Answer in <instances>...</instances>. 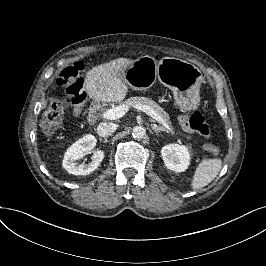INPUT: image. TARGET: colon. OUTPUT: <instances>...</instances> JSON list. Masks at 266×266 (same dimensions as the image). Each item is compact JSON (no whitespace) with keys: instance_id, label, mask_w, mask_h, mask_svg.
<instances>
[{"instance_id":"1","label":"colon","mask_w":266,"mask_h":266,"mask_svg":"<svg viewBox=\"0 0 266 266\" xmlns=\"http://www.w3.org/2000/svg\"><path fill=\"white\" fill-rule=\"evenodd\" d=\"M83 68V62L75 60L60 72L57 83L63 89V98L60 95L52 97L51 103L41 120V128L45 135H52L58 129L65 111V103L71 102L73 106H78L83 102L82 87L84 81L81 75ZM183 126L187 130L196 131L203 139H207L210 135V127L201 112L195 111L185 118ZM205 148L212 153L219 151L216 145L208 142L205 143Z\"/></svg>"}]
</instances>
